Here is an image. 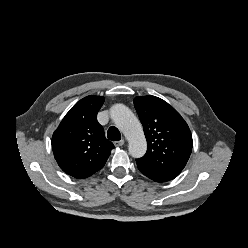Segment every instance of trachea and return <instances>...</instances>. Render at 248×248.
<instances>
[{
	"label": "trachea",
	"mask_w": 248,
	"mask_h": 248,
	"mask_svg": "<svg viewBox=\"0 0 248 248\" xmlns=\"http://www.w3.org/2000/svg\"><path fill=\"white\" fill-rule=\"evenodd\" d=\"M107 137L111 141H119L121 139V134H120L119 130L116 127L111 126L108 129Z\"/></svg>",
	"instance_id": "trachea-1"
}]
</instances>
